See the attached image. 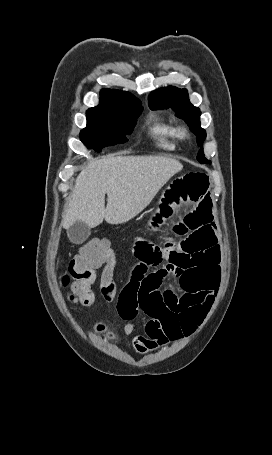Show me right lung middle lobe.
<instances>
[{"mask_svg":"<svg viewBox=\"0 0 272 455\" xmlns=\"http://www.w3.org/2000/svg\"><path fill=\"white\" fill-rule=\"evenodd\" d=\"M141 102H134L116 111H87V127L80 140L90 149L100 152L103 147L127 142L142 112Z\"/></svg>","mask_w":272,"mask_h":455,"instance_id":"dd1d6c3e","label":"right lung middle lobe"}]
</instances>
